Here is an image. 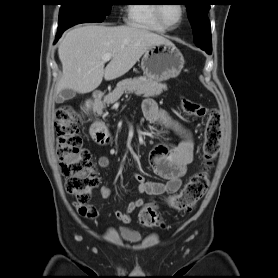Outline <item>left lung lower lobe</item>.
<instances>
[{
	"label": "left lung lower lobe",
	"mask_w": 278,
	"mask_h": 278,
	"mask_svg": "<svg viewBox=\"0 0 278 278\" xmlns=\"http://www.w3.org/2000/svg\"><path fill=\"white\" fill-rule=\"evenodd\" d=\"M208 54H211L212 50H205Z\"/></svg>",
	"instance_id": "1"
}]
</instances>
